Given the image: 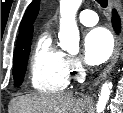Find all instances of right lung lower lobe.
Segmentation results:
<instances>
[{"label": "right lung lower lobe", "mask_w": 123, "mask_h": 113, "mask_svg": "<svg viewBox=\"0 0 123 113\" xmlns=\"http://www.w3.org/2000/svg\"><path fill=\"white\" fill-rule=\"evenodd\" d=\"M112 23H113L114 30L118 33V31L120 29V19L117 15L116 11H113Z\"/></svg>", "instance_id": "obj_1"}]
</instances>
